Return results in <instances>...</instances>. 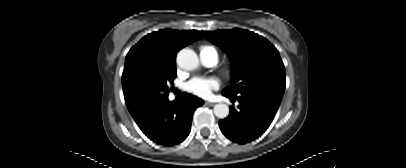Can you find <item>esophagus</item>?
<instances>
[{"label":"esophagus","mask_w":406,"mask_h":168,"mask_svg":"<svg viewBox=\"0 0 406 168\" xmlns=\"http://www.w3.org/2000/svg\"><path fill=\"white\" fill-rule=\"evenodd\" d=\"M205 104L208 105V106H214L215 105V103L209 102V101H206Z\"/></svg>","instance_id":"obj_1"}]
</instances>
